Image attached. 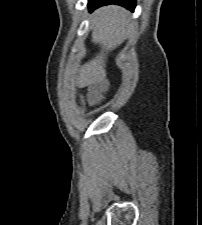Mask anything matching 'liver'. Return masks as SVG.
I'll return each instance as SVG.
<instances>
[{
	"label": "liver",
	"instance_id": "6515ba94",
	"mask_svg": "<svg viewBox=\"0 0 202 225\" xmlns=\"http://www.w3.org/2000/svg\"><path fill=\"white\" fill-rule=\"evenodd\" d=\"M92 42L101 46V53L79 70L77 82L86 85L106 78L107 54L121 45L130 29L129 12L110 5L94 11L91 16Z\"/></svg>",
	"mask_w": 202,
	"mask_h": 225
}]
</instances>
